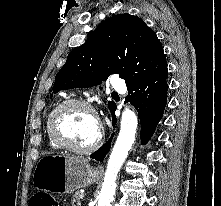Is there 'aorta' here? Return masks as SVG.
<instances>
[{
  "mask_svg": "<svg viewBox=\"0 0 221 206\" xmlns=\"http://www.w3.org/2000/svg\"><path fill=\"white\" fill-rule=\"evenodd\" d=\"M137 124L136 114L126 108L122 113L118 138L108 160L97 206H111L116 191V177L134 143Z\"/></svg>",
  "mask_w": 221,
  "mask_h": 206,
  "instance_id": "obj_1",
  "label": "aorta"
}]
</instances>
